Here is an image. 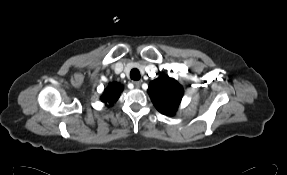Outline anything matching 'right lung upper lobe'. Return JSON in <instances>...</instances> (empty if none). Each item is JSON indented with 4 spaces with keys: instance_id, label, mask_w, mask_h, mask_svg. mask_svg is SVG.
<instances>
[{
    "instance_id": "1",
    "label": "right lung upper lobe",
    "mask_w": 287,
    "mask_h": 175,
    "mask_svg": "<svg viewBox=\"0 0 287 175\" xmlns=\"http://www.w3.org/2000/svg\"><path fill=\"white\" fill-rule=\"evenodd\" d=\"M122 89L123 87L121 84L110 83L101 97L102 102H105L106 105L114 104V102L119 98Z\"/></svg>"
}]
</instances>
